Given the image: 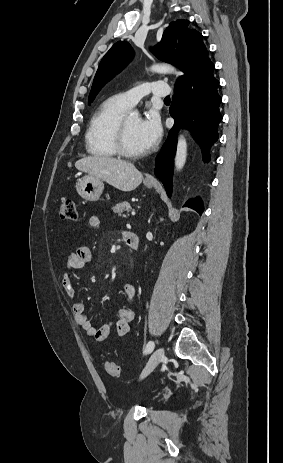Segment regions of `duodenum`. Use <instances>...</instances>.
Returning <instances> with one entry per match:
<instances>
[{
    "label": "duodenum",
    "mask_w": 283,
    "mask_h": 463,
    "mask_svg": "<svg viewBox=\"0 0 283 463\" xmlns=\"http://www.w3.org/2000/svg\"><path fill=\"white\" fill-rule=\"evenodd\" d=\"M127 245L134 251L139 248V237L135 233H126L124 236Z\"/></svg>",
    "instance_id": "duodenum-1"
}]
</instances>
